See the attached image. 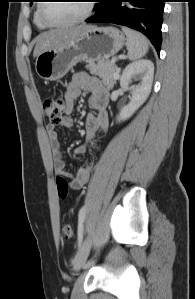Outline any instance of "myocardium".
<instances>
[{
    "instance_id": "myocardium-1",
    "label": "myocardium",
    "mask_w": 195,
    "mask_h": 299,
    "mask_svg": "<svg viewBox=\"0 0 195 299\" xmlns=\"http://www.w3.org/2000/svg\"><path fill=\"white\" fill-rule=\"evenodd\" d=\"M45 4L46 3H40L38 5L37 11H38V16H39L40 20L45 25H47L49 27H65V26H70V25H73V24H76L79 22H83V21L87 20L92 15L94 8H95V3L93 2V0H87L86 10L82 15H80L76 18H73L71 20L64 21V22H53V21L49 20L44 14L43 8H44Z\"/></svg>"
}]
</instances>
